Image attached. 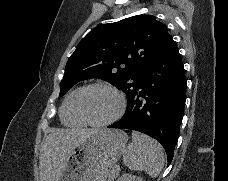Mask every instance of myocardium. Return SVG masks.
I'll return each instance as SVG.
<instances>
[{
	"instance_id": "1",
	"label": "myocardium",
	"mask_w": 228,
	"mask_h": 181,
	"mask_svg": "<svg viewBox=\"0 0 228 181\" xmlns=\"http://www.w3.org/2000/svg\"><path fill=\"white\" fill-rule=\"evenodd\" d=\"M94 88H103V89H107V90H110L111 92H113L117 98V106L109 116H107L101 120H98V121H89L83 115V112L81 109V101H82V97L85 94V92H87L90 89H94ZM75 109H76L78 117L84 123L91 125V126H104V125H107V124L115 121L116 119H118L119 117H121L123 115V113L126 109V99H125V96L123 95V93L117 87H115L109 83H105V82H96L91 85H88L87 87H85L84 89L81 90V92L79 93L77 100L75 102Z\"/></svg>"
}]
</instances>
